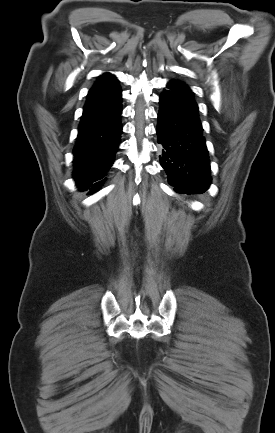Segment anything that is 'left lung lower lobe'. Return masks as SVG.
<instances>
[{"mask_svg": "<svg viewBox=\"0 0 275 433\" xmlns=\"http://www.w3.org/2000/svg\"><path fill=\"white\" fill-rule=\"evenodd\" d=\"M160 96L157 137L160 164L175 191L204 193L211 183L210 161L193 92L183 82L170 81Z\"/></svg>", "mask_w": 275, "mask_h": 433, "instance_id": "obj_1", "label": "left lung lower lobe"}]
</instances>
